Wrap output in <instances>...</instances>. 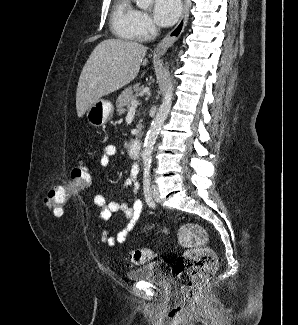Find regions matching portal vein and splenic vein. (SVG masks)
<instances>
[{
    "label": "portal vein and splenic vein",
    "mask_w": 298,
    "mask_h": 325,
    "mask_svg": "<svg viewBox=\"0 0 298 325\" xmlns=\"http://www.w3.org/2000/svg\"><path fill=\"white\" fill-rule=\"evenodd\" d=\"M138 104H140L139 100H132L131 106H128V110H127L128 114L129 112H136V108Z\"/></svg>",
    "instance_id": "portal-vein-and-splenic-vein-1"
}]
</instances>
